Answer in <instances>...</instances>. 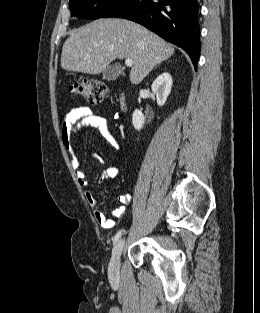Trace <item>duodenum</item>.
Wrapping results in <instances>:
<instances>
[{
    "mask_svg": "<svg viewBox=\"0 0 260 313\" xmlns=\"http://www.w3.org/2000/svg\"><path fill=\"white\" fill-rule=\"evenodd\" d=\"M119 106L121 110H125L127 108V97L124 92L119 95Z\"/></svg>",
    "mask_w": 260,
    "mask_h": 313,
    "instance_id": "duodenum-1",
    "label": "duodenum"
}]
</instances>
